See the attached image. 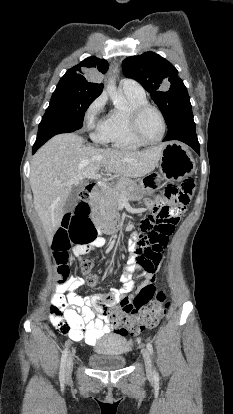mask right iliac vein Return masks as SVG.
Listing matches in <instances>:
<instances>
[{
	"mask_svg": "<svg viewBox=\"0 0 233 414\" xmlns=\"http://www.w3.org/2000/svg\"><path fill=\"white\" fill-rule=\"evenodd\" d=\"M73 354L69 355L66 361V377L69 378L73 369Z\"/></svg>",
	"mask_w": 233,
	"mask_h": 414,
	"instance_id": "1",
	"label": "right iliac vein"
}]
</instances>
